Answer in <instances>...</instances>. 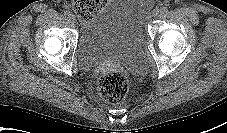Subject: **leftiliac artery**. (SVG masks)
I'll return each mask as SVG.
<instances>
[{
  "instance_id": "left-iliac-artery-1",
  "label": "left iliac artery",
  "mask_w": 227,
  "mask_h": 133,
  "mask_svg": "<svg viewBox=\"0 0 227 133\" xmlns=\"http://www.w3.org/2000/svg\"><path fill=\"white\" fill-rule=\"evenodd\" d=\"M162 14H165L168 12V8L167 7H161L159 10Z\"/></svg>"
}]
</instances>
